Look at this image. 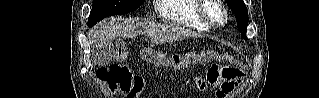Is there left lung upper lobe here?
I'll use <instances>...</instances> for the list:
<instances>
[{"label":"left lung upper lobe","mask_w":319,"mask_h":98,"mask_svg":"<svg viewBox=\"0 0 319 98\" xmlns=\"http://www.w3.org/2000/svg\"><path fill=\"white\" fill-rule=\"evenodd\" d=\"M227 5L236 16L238 29L242 32V37L247 40L248 11L243 0H227Z\"/></svg>","instance_id":"obj_1"}]
</instances>
